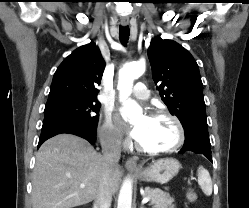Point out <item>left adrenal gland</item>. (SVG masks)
<instances>
[{
	"mask_svg": "<svg viewBox=\"0 0 249 208\" xmlns=\"http://www.w3.org/2000/svg\"><path fill=\"white\" fill-rule=\"evenodd\" d=\"M140 208H145L144 205H143V203L140 205Z\"/></svg>",
	"mask_w": 249,
	"mask_h": 208,
	"instance_id": "1",
	"label": "left adrenal gland"
}]
</instances>
